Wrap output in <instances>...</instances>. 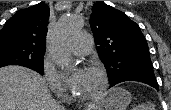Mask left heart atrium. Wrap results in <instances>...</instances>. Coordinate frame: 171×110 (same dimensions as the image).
Wrapping results in <instances>:
<instances>
[{
    "mask_svg": "<svg viewBox=\"0 0 171 110\" xmlns=\"http://www.w3.org/2000/svg\"><path fill=\"white\" fill-rule=\"evenodd\" d=\"M84 73H85V70L78 69L74 71L72 74H70V76L67 78V82L72 89L77 86V84L82 79Z\"/></svg>",
    "mask_w": 171,
    "mask_h": 110,
    "instance_id": "39dd6f15",
    "label": "left heart atrium"
}]
</instances>
